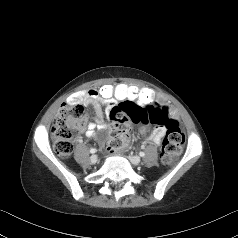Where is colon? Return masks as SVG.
I'll return each mask as SVG.
<instances>
[{
	"mask_svg": "<svg viewBox=\"0 0 238 238\" xmlns=\"http://www.w3.org/2000/svg\"><path fill=\"white\" fill-rule=\"evenodd\" d=\"M98 96L106 102L122 103L113 107L109 117L113 122L110 130L108 150L115 152L127 143L128 122L164 125L166 134L162 142L161 161L169 165L179 156L185 141L179 123L171 118L173 110L169 106L154 104L156 93L149 88L135 84L102 83L97 90ZM84 114L82 103H64L54 119L51 136L54 151L61 157H67L74 148L76 131Z\"/></svg>",
	"mask_w": 238,
	"mask_h": 238,
	"instance_id": "1",
	"label": "colon"
}]
</instances>
